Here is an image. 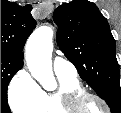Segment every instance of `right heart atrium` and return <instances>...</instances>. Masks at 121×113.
Masks as SVG:
<instances>
[{
  "label": "right heart atrium",
  "mask_w": 121,
  "mask_h": 113,
  "mask_svg": "<svg viewBox=\"0 0 121 113\" xmlns=\"http://www.w3.org/2000/svg\"><path fill=\"white\" fill-rule=\"evenodd\" d=\"M40 93L36 81L25 70L18 71L8 87V101L13 110L33 105Z\"/></svg>",
  "instance_id": "right-heart-atrium-1"
}]
</instances>
